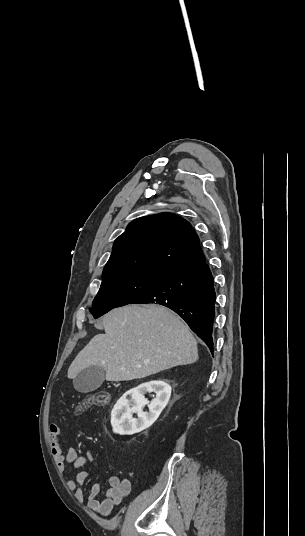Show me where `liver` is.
<instances>
[{"instance_id":"6515ba94","label":"liver","mask_w":305,"mask_h":536,"mask_svg":"<svg viewBox=\"0 0 305 536\" xmlns=\"http://www.w3.org/2000/svg\"><path fill=\"white\" fill-rule=\"evenodd\" d=\"M98 334L68 368L73 380L89 366H102L107 382L146 378L174 366L194 364L197 342L181 318L165 306H124L105 314Z\"/></svg>"}]
</instances>
